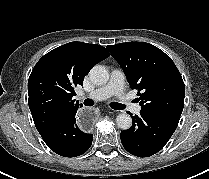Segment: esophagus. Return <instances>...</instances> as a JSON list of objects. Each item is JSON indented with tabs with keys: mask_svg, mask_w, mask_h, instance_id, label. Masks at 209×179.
I'll return each instance as SVG.
<instances>
[{
	"mask_svg": "<svg viewBox=\"0 0 209 179\" xmlns=\"http://www.w3.org/2000/svg\"><path fill=\"white\" fill-rule=\"evenodd\" d=\"M97 120V113L93 108H84L77 114V126L82 131H89Z\"/></svg>",
	"mask_w": 209,
	"mask_h": 179,
	"instance_id": "esophagus-1",
	"label": "esophagus"
}]
</instances>
